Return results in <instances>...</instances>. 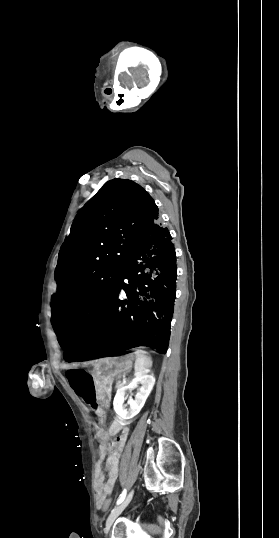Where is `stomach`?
Masks as SVG:
<instances>
[{
  "instance_id": "obj_1",
  "label": "stomach",
  "mask_w": 279,
  "mask_h": 538,
  "mask_svg": "<svg viewBox=\"0 0 279 538\" xmlns=\"http://www.w3.org/2000/svg\"><path fill=\"white\" fill-rule=\"evenodd\" d=\"M132 353H109L107 358H100L96 368V377L101 378L96 386V397L102 404L110 402L112 386L117 382L118 374H124L132 366Z\"/></svg>"
}]
</instances>
